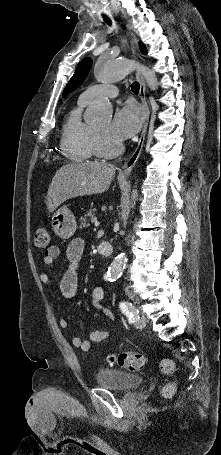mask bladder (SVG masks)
Instances as JSON below:
<instances>
[{
	"label": "bladder",
	"mask_w": 221,
	"mask_h": 455,
	"mask_svg": "<svg viewBox=\"0 0 221 455\" xmlns=\"http://www.w3.org/2000/svg\"><path fill=\"white\" fill-rule=\"evenodd\" d=\"M95 381L97 385L108 389L129 391L139 387L142 383V378L120 370L100 367L96 371Z\"/></svg>",
	"instance_id": "bladder-1"
}]
</instances>
